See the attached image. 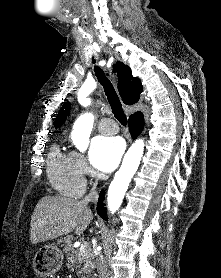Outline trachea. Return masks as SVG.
Masks as SVG:
<instances>
[{
	"instance_id": "1",
	"label": "trachea",
	"mask_w": 221,
	"mask_h": 278,
	"mask_svg": "<svg viewBox=\"0 0 221 278\" xmlns=\"http://www.w3.org/2000/svg\"><path fill=\"white\" fill-rule=\"evenodd\" d=\"M95 59L92 57V63L95 64ZM94 72L95 76L97 77L99 83L103 86L104 92L107 96V99L109 101V104L112 109V113L114 114V117L123 125H127V117L123 111L122 104L119 100V97L110 82V80L106 77L104 71L98 67L94 66Z\"/></svg>"
}]
</instances>
